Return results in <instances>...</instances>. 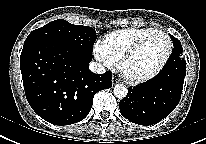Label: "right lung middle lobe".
Listing matches in <instances>:
<instances>
[{
	"instance_id": "dd1d6c3e",
	"label": "right lung middle lobe",
	"mask_w": 206,
	"mask_h": 144,
	"mask_svg": "<svg viewBox=\"0 0 206 144\" xmlns=\"http://www.w3.org/2000/svg\"><path fill=\"white\" fill-rule=\"evenodd\" d=\"M96 37V32L91 27L73 25L66 20L59 19L33 30L26 38L24 45L51 42L91 53Z\"/></svg>"
}]
</instances>
